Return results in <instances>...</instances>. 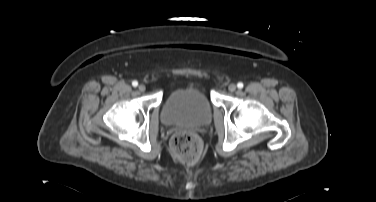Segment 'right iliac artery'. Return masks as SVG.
I'll use <instances>...</instances> for the list:
<instances>
[{
	"instance_id": "82829eb1",
	"label": "right iliac artery",
	"mask_w": 376,
	"mask_h": 202,
	"mask_svg": "<svg viewBox=\"0 0 376 202\" xmlns=\"http://www.w3.org/2000/svg\"><path fill=\"white\" fill-rule=\"evenodd\" d=\"M132 85H133L134 87H137V86H138V82L134 80V81L132 82Z\"/></svg>"
}]
</instances>
